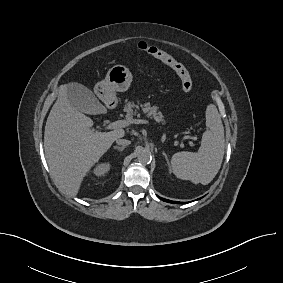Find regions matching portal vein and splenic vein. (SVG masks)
I'll use <instances>...</instances> for the list:
<instances>
[{
	"instance_id": "obj_1",
	"label": "portal vein and splenic vein",
	"mask_w": 283,
	"mask_h": 283,
	"mask_svg": "<svg viewBox=\"0 0 283 283\" xmlns=\"http://www.w3.org/2000/svg\"><path fill=\"white\" fill-rule=\"evenodd\" d=\"M148 121L144 119H126V120H118L115 122H111L107 125V129H118L129 126L130 124H147ZM189 145L192 147L193 142L189 141Z\"/></svg>"
}]
</instances>
